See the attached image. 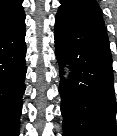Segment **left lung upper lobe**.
<instances>
[{
	"label": "left lung upper lobe",
	"mask_w": 117,
	"mask_h": 136,
	"mask_svg": "<svg viewBox=\"0 0 117 136\" xmlns=\"http://www.w3.org/2000/svg\"><path fill=\"white\" fill-rule=\"evenodd\" d=\"M57 15L68 16L74 20L104 27L101 9L95 0H61Z\"/></svg>",
	"instance_id": "obj_1"
}]
</instances>
